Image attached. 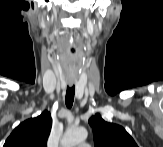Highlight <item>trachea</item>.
Instances as JSON below:
<instances>
[{
	"instance_id": "obj_1",
	"label": "trachea",
	"mask_w": 163,
	"mask_h": 147,
	"mask_svg": "<svg viewBox=\"0 0 163 147\" xmlns=\"http://www.w3.org/2000/svg\"><path fill=\"white\" fill-rule=\"evenodd\" d=\"M74 95H75V86L74 85L71 87L68 86L66 91V97H65L66 106L68 108H71L73 105Z\"/></svg>"
}]
</instances>
